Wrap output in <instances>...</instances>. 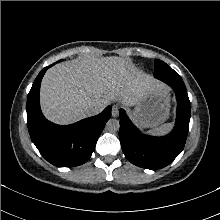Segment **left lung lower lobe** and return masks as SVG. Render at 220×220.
I'll return each mask as SVG.
<instances>
[{"mask_svg":"<svg viewBox=\"0 0 220 220\" xmlns=\"http://www.w3.org/2000/svg\"><path fill=\"white\" fill-rule=\"evenodd\" d=\"M173 88L177 99L176 124L171 133L163 137L143 135L120 109L119 139L126 158L134 165L156 170L169 165L183 150L190 121V101L184 82H176L179 74L172 69L163 77Z\"/></svg>","mask_w":220,"mask_h":220,"instance_id":"1","label":"left lung lower lobe"}]
</instances>
